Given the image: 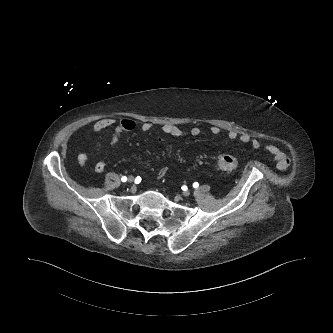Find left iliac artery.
Segmentation results:
<instances>
[{
	"label": "left iliac artery",
	"instance_id": "1",
	"mask_svg": "<svg viewBox=\"0 0 333 333\" xmlns=\"http://www.w3.org/2000/svg\"><path fill=\"white\" fill-rule=\"evenodd\" d=\"M193 187H194V188H198V187H199V183H198V182H194V183H193Z\"/></svg>",
	"mask_w": 333,
	"mask_h": 333
}]
</instances>
